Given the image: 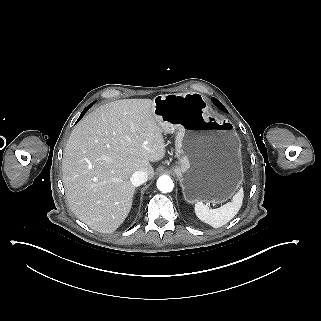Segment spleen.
Listing matches in <instances>:
<instances>
[{"mask_svg": "<svg viewBox=\"0 0 321 321\" xmlns=\"http://www.w3.org/2000/svg\"><path fill=\"white\" fill-rule=\"evenodd\" d=\"M242 193L243 190L240 189L233 198V202H228L223 206L216 209H207L202 202H197L195 205V214L199 220L212 226L213 228H218L226 223H228L239 211L242 205Z\"/></svg>", "mask_w": 321, "mask_h": 321, "instance_id": "1", "label": "spleen"}]
</instances>
